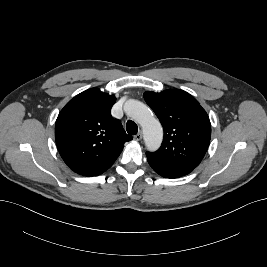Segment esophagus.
I'll use <instances>...</instances> for the list:
<instances>
[{"mask_svg":"<svg viewBox=\"0 0 267 267\" xmlns=\"http://www.w3.org/2000/svg\"><path fill=\"white\" fill-rule=\"evenodd\" d=\"M134 139L136 141H140L142 139V133L141 132H138L135 136H134Z\"/></svg>","mask_w":267,"mask_h":267,"instance_id":"obj_1","label":"esophagus"}]
</instances>
